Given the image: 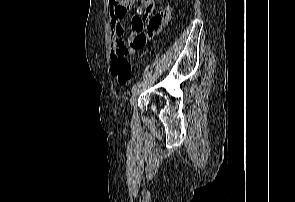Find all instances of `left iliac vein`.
Segmentation results:
<instances>
[{
	"instance_id": "4c4485c4",
	"label": "left iliac vein",
	"mask_w": 295,
	"mask_h": 202,
	"mask_svg": "<svg viewBox=\"0 0 295 202\" xmlns=\"http://www.w3.org/2000/svg\"><path fill=\"white\" fill-rule=\"evenodd\" d=\"M144 87L143 85L138 87L136 90L133 91V94L131 96V99H130V104L133 105L136 100L138 99L139 95L141 94V92L143 91Z\"/></svg>"
}]
</instances>
